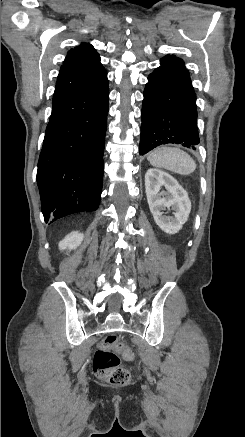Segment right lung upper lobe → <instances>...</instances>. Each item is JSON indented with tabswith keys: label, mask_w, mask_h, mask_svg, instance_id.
I'll return each instance as SVG.
<instances>
[{
	"label": "right lung upper lobe",
	"mask_w": 245,
	"mask_h": 437,
	"mask_svg": "<svg viewBox=\"0 0 245 437\" xmlns=\"http://www.w3.org/2000/svg\"><path fill=\"white\" fill-rule=\"evenodd\" d=\"M107 79L100 56L89 43L68 51L60 68L53 99L87 91Z\"/></svg>",
	"instance_id": "cb5924a9"
}]
</instances>
